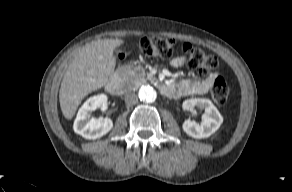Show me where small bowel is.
Masks as SVG:
<instances>
[{"instance_id": "small-bowel-1", "label": "small bowel", "mask_w": 292, "mask_h": 192, "mask_svg": "<svg viewBox=\"0 0 292 192\" xmlns=\"http://www.w3.org/2000/svg\"><path fill=\"white\" fill-rule=\"evenodd\" d=\"M185 60L184 56H176L170 61V64L173 67H181L184 65ZM218 76V73L215 72L204 78L187 79L176 85H167V90L164 94L173 98L205 94L211 88L215 78Z\"/></svg>"}]
</instances>
